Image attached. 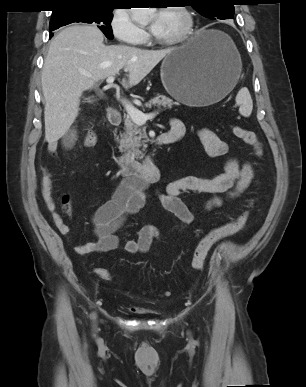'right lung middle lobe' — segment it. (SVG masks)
I'll return each instance as SVG.
<instances>
[{
    "label": "right lung middle lobe",
    "instance_id": "right-lung-middle-lobe-1",
    "mask_svg": "<svg viewBox=\"0 0 306 387\" xmlns=\"http://www.w3.org/2000/svg\"><path fill=\"white\" fill-rule=\"evenodd\" d=\"M112 7L104 6H77L65 8L60 12L52 13L49 30L54 31L61 26L75 22L92 23L97 26L108 39H113L111 21Z\"/></svg>",
    "mask_w": 306,
    "mask_h": 387
}]
</instances>
